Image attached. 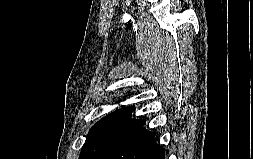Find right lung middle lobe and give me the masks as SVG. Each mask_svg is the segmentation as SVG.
Returning a JSON list of instances; mask_svg holds the SVG:
<instances>
[{
    "label": "right lung middle lobe",
    "mask_w": 253,
    "mask_h": 159,
    "mask_svg": "<svg viewBox=\"0 0 253 159\" xmlns=\"http://www.w3.org/2000/svg\"><path fill=\"white\" fill-rule=\"evenodd\" d=\"M133 110V107H124L97 122L87 136L79 159H93L118 139L139 127L144 120L130 119Z\"/></svg>",
    "instance_id": "1"
}]
</instances>
